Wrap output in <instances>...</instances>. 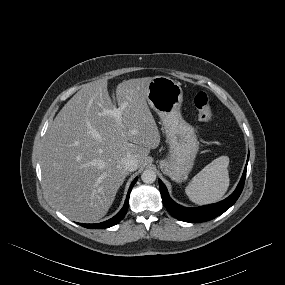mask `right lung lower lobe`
<instances>
[{"label": "right lung lower lobe", "instance_id": "right-lung-lower-lobe-1", "mask_svg": "<svg viewBox=\"0 0 285 285\" xmlns=\"http://www.w3.org/2000/svg\"><path fill=\"white\" fill-rule=\"evenodd\" d=\"M136 181H137V178L134 179V181L132 182V184L128 190L127 197H126L125 204H124L123 208L113 218H111L105 222L97 223V224H82V223H78V224L85 227V228H90V229L108 228V227L116 225L118 222H120L122 220V218L125 216V214L127 212L128 205H129L130 191H131L132 187L134 186V184L136 183Z\"/></svg>", "mask_w": 285, "mask_h": 285}]
</instances>
